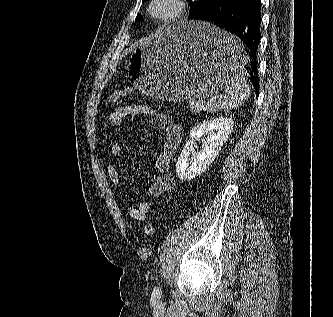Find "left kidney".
Listing matches in <instances>:
<instances>
[{
	"instance_id": "left-kidney-1",
	"label": "left kidney",
	"mask_w": 333,
	"mask_h": 317,
	"mask_svg": "<svg viewBox=\"0 0 333 317\" xmlns=\"http://www.w3.org/2000/svg\"><path fill=\"white\" fill-rule=\"evenodd\" d=\"M233 127L234 120L229 117L215 118L195 125L176 164L179 179L190 180L204 172L219 154ZM205 134L207 138L202 143V151L190 159L193 146Z\"/></svg>"
}]
</instances>
